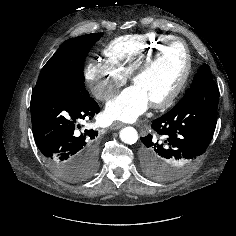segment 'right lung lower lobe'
<instances>
[{
    "label": "right lung lower lobe",
    "mask_w": 236,
    "mask_h": 236,
    "mask_svg": "<svg viewBox=\"0 0 236 236\" xmlns=\"http://www.w3.org/2000/svg\"><path fill=\"white\" fill-rule=\"evenodd\" d=\"M96 101L79 90L34 88L31 119L34 140L49 165L66 177L76 166L98 157V131L78 130L99 113Z\"/></svg>",
    "instance_id": "1"
}]
</instances>
